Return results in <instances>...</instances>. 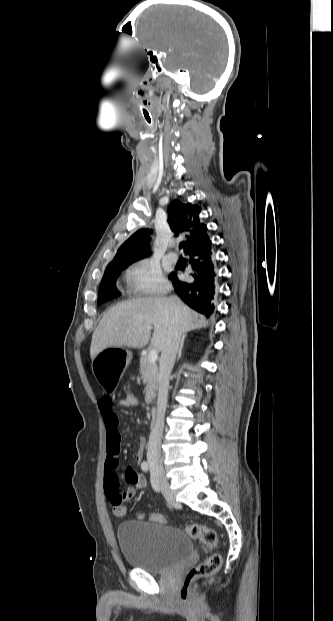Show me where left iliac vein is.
I'll use <instances>...</instances> for the list:
<instances>
[{"label":"left iliac vein","mask_w":333,"mask_h":621,"mask_svg":"<svg viewBox=\"0 0 333 621\" xmlns=\"http://www.w3.org/2000/svg\"><path fill=\"white\" fill-rule=\"evenodd\" d=\"M151 478H152V480H154V481H156V482L158 483V480L156 479V477H155V475H154L153 471L151 472Z\"/></svg>","instance_id":"4c4485c4"}]
</instances>
